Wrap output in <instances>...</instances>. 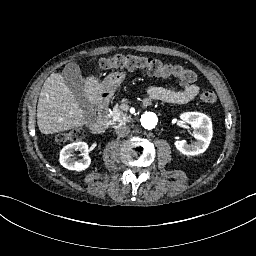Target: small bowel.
I'll list each match as a JSON object with an SVG mask.
<instances>
[{
  "label": "small bowel",
  "mask_w": 256,
  "mask_h": 256,
  "mask_svg": "<svg viewBox=\"0 0 256 256\" xmlns=\"http://www.w3.org/2000/svg\"><path fill=\"white\" fill-rule=\"evenodd\" d=\"M199 93V87L196 84L182 83V89L174 90L160 86H150L147 89L148 97L173 104H186L194 100Z\"/></svg>",
  "instance_id": "small-bowel-1"
}]
</instances>
